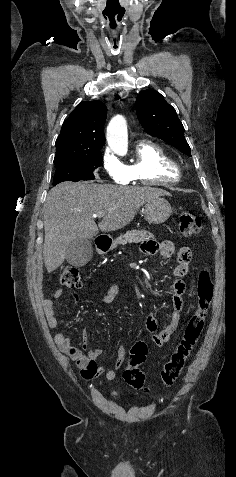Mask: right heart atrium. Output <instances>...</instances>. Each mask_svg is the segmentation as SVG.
Here are the masks:
<instances>
[{
  "mask_svg": "<svg viewBox=\"0 0 236 477\" xmlns=\"http://www.w3.org/2000/svg\"><path fill=\"white\" fill-rule=\"evenodd\" d=\"M103 169L109 177L118 184H127L131 176L127 166L124 165L110 150H106L103 154Z\"/></svg>",
  "mask_w": 236,
  "mask_h": 477,
  "instance_id": "d8ad5b80",
  "label": "right heart atrium"
}]
</instances>
